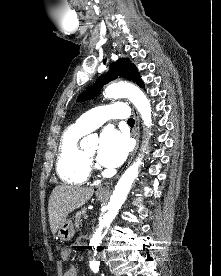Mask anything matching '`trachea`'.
<instances>
[{
	"label": "trachea",
	"mask_w": 221,
	"mask_h": 276,
	"mask_svg": "<svg viewBox=\"0 0 221 276\" xmlns=\"http://www.w3.org/2000/svg\"><path fill=\"white\" fill-rule=\"evenodd\" d=\"M134 123H135V121H134V119H133V118H130V119L128 120V124H132V125H134Z\"/></svg>",
	"instance_id": "trachea-1"
}]
</instances>
